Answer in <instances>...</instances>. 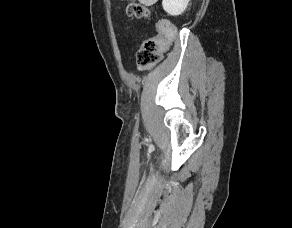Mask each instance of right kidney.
I'll return each instance as SVG.
<instances>
[{
	"instance_id": "right-kidney-1",
	"label": "right kidney",
	"mask_w": 292,
	"mask_h": 228,
	"mask_svg": "<svg viewBox=\"0 0 292 228\" xmlns=\"http://www.w3.org/2000/svg\"><path fill=\"white\" fill-rule=\"evenodd\" d=\"M190 0H163V9L172 16L181 15L188 6Z\"/></svg>"
}]
</instances>
